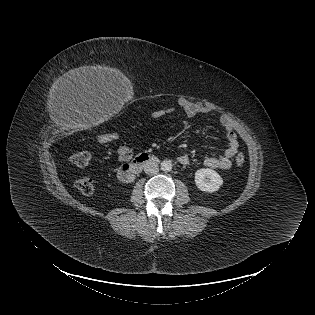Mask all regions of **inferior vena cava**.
I'll use <instances>...</instances> for the list:
<instances>
[{
    "label": "inferior vena cava",
    "instance_id": "1",
    "mask_svg": "<svg viewBox=\"0 0 315 315\" xmlns=\"http://www.w3.org/2000/svg\"><path fill=\"white\" fill-rule=\"evenodd\" d=\"M158 170V164L155 161H148L144 165V171L147 174L156 173Z\"/></svg>",
    "mask_w": 315,
    "mask_h": 315
}]
</instances>
